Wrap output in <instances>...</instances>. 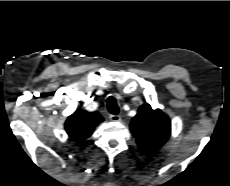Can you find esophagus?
<instances>
[{
	"instance_id": "34e87169",
	"label": "esophagus",
	"mask_w": 230,
	"mask_h": 186,
	"mask_svg": "<svg viewBox=\"0 0 230 186\" xmlns=\"http://www.w3.org/2000/svg\"><path fill=\"white\" fill-rule=\"evenodd\" d=\"M109 118H110L111 121H114V122H119V121H121V116H120V115L111 114V115L109 116Z\"/></svg>"
}]
</instances>
